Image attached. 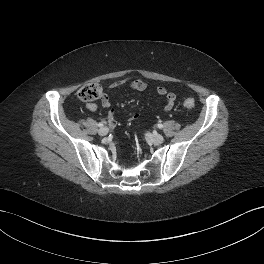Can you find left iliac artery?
I'll list each match as a JSON object with an SVG mask.
<instances>
[{
    "label": "left iliac artery",
    "mask_w": 264,
    "mask_h": 264,
    "mask_svg": "<svg viewBox=\"0 0 264 264\" xmlns=\"http://www.w3.org/2000/svg\"><path fill=\"white\" fill-rule=\"evenodd\" d=\"M158 128L162 129L163 125L162 124H158Z\"/></svg>",
    "instance_id": "obj_1"
}]
</instances>
